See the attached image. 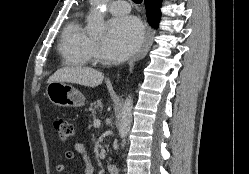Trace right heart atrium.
Returning a JSON list of instances; mask_svg holds the SVG:
<instances>
[{"instance_id":"d8ad5b80","label":"right heart atrium","mask_w":249,"mask_h":174,"mask_svg":"<svg viewBox=\"0 0 249 174\" xmlns=\"http://www.w3.org/2000/svg\"><path fill=\"white\" fill-rule=\"evenodd\" d=\"M90 53H91L92 56L97 55V46L94 43L91 44Z\"/></svg>"}]
</instances>
